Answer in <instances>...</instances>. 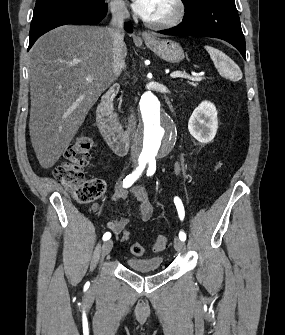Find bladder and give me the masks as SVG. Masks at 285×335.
Instances as JSON below:
<instances>
[{"mask_svg":"<svg viewBox=\"0 0 285 335\" xmlns=\"http://www.w3.org/2000/svg\"><path fill=\"white\" fill-rule=\"evenodd\" d=\"M162 258L164 256L159 254L148 257H127V265H132L133 272H157V265H162Z\"/></svg>","mask_w":285,"mask_h":335,"instance_id":"31cf9c89","label":"bladder"}]
</instances>
